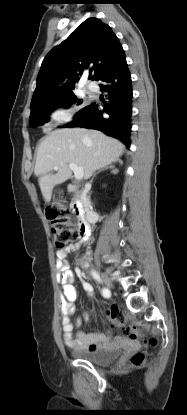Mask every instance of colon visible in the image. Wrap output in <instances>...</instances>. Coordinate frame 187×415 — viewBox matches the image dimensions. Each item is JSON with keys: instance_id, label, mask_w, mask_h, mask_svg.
Listing matches in <instances>:
<instances>
[{"instance_id": "obj_1", "label": "colon", "mask_w": 187, "mask_h": 415, "mask_svg": "<svg viewBox=\"0 0 187 415\" xmlns=\"http://www.w3.org/2000/svg\"><path fill=\"white\" fill-rule=\"evenodd\" d=\"M54 236V246L57 251L65 250L75 245L81 235L79 223L72 216L69 208L64 203H56L47 211ZM111 324L118 328L123 334L133 340H143L149 347H155L158 343L154 337L144 338L141 331L127 322L124 315L115 307L107 311ZM144 361V354L136 352L130 359V365L138 366Z\"/></svg>"}]
</instances>
